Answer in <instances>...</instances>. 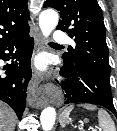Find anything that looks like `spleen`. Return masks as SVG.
Wrapping results in <instances>:
<instances>
[{
	"label": "spleen",
	"mask_w": 117,
	"mask_h": 131,
	"mask_svg": "<svg viewBox=\"0 0 117 131\" xmlns=\"http://www.w3.org/2000/svg\"><path fill=\"white\" fill-rule=\"evenodd\" d=\"M83 108L87 110H96L97 107L92 104H82L80 105ZM74 106L70 105L67 108L64 109L60 116V124L62 126H65L68 123V118L70 115V112L73 110ZM98 123L99 127L102 131H116L115 123L112 120L111 116L108 114V112L104 109H98Z\"/></svg>",
	"instance_id": "spleen-1"
}]
</instances>
